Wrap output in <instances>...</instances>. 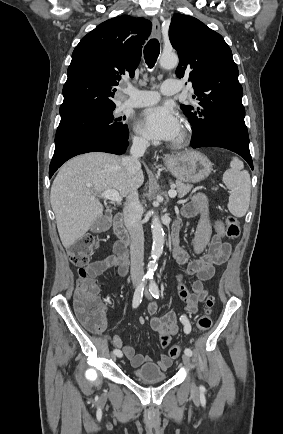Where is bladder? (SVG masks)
Wrapping results in <instances>:
<instances>
[{
    "label": "bladder",
    "instance_id": "31cf9c89",
    "mask_svg": "<svg viewBox=\"0 0 283 434\" xmlns=\"http://www.w3.org/2000/svg\"><path fill=\"white\" fill-rule=\"evenodd\" d=\"M132 374L136 380L142 382H160L168 379L167 373L153 363L145 364L133 370Z\"/></svg>",
    "mask_w": 283,
    "mask_h": 434
}]
</instances>
